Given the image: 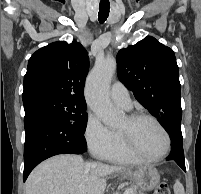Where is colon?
Masks as SVG:
<instances>
[{"instance_id":"1","label":"colon","mask_w":201,"mask_h":194,"mask_svg":"<svg viewBox=\"0 0 201 194\" xmlns=\"http://www.w3.org/2000/svg\"><path fill=\"white\" fill-rule=\"evenodd\" d=\"M154 194H171L169 186L166 183H161L155 189Z\"/></svg>"}]
</instances>
